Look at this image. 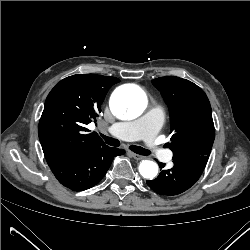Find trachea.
Returning <instances> with one entry per match:
<instances>
[{
  "label": "trachea",
  "mask_w": 250,
  "mask_h": 250,
  "mask_svg": "<svg viewBox=\"0 0 250 250\" xmlns=\"http://www.w3.org/2000/svg\"><path fill=\"white\" fill-rule=\"evenodd\" d=\"M101 137L105 140V142L110 145V146H114V147H118L120 146V141L118 139H114L112 137H107L103 134H101ZM130 150H132L133 152L137 153V154H140V155H145V156H148L150 155V151L147 150V149H144L140 146H135V145H131L129 147Z\"/></svg>",
  "instance_id": "3493384b"
}]
</instances>
